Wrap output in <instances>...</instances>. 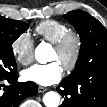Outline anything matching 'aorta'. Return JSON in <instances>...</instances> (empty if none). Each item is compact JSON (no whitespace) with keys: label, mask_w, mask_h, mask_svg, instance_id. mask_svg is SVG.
<instances>
[{"label":"aorta","mask_w":107,"mask_h":107,"mask_svg":"<svg viewBox=\"0 0 107 107\" xmlns=\"http://www.w3.org/2000/svg\"><path fill=\"white\" fill-rule=\"evenodd\" d=\"M46 44L41 43L35 49V58L41 63L45 64L48 61ZM43 102L46 107H58L60 103V96L54 91L47 92L43 97Z\"/></svg>","instance_id":"762f6f07"}]
</instances>
